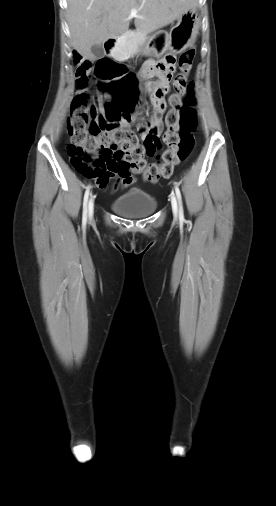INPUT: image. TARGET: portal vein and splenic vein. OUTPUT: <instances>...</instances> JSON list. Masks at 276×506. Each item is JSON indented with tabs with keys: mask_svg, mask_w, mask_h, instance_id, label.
I'll use <instances>...</instances> for the list:
<instances>
[{
	"mask_svg": "<svg viewBox=\"0 0 276 506\" xmlns=\"http://www.w3.org/2000/svg\"><path fill=\"white\" fill-rule=\"evenodd\" d=\"M136 13H137V10H136V9H133V10L131 11V16H133V17H134V16H136Z\"/></svg>",
	"mask_w": 276,
	"mask_h": 506,
	"instance_id": "18ae733b",
	"label": "portal vein and splenic vein"
}]
</instances>
